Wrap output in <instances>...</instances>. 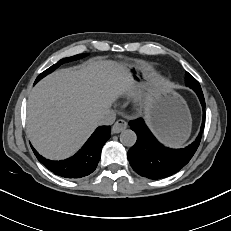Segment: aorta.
Returning a JSON list of instances; mask_svg holds the SVG:
<instances>
[{
	"instance_id": "aorta-1",
	"label": "aorta",
	"mask_w": 231,
	"mask_h": 231,
	"mask_svg": "<svg viewBox=\"0 0 231 231\" xmlns=\"http://www.w3.org/2000/svg\"><path fill=\"white\" fill-rule=\"evenodd\" d=\"M137 136L133 130L126 129L120 134V141L124 146L131 147L136 143Z\"/></svg>"
}]
</instances>
